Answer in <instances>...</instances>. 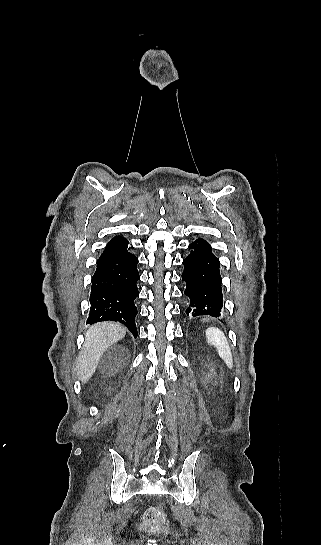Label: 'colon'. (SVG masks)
<instances>
[{
  "instance_id": "obj_1",
  "label": "colon",
  "mask_w": 321,
  "mask_h": 545,
  "mask_svg": "<svg viewBox=\"0 0 321 545\" xmlns=\"http://www.w3.org/2000/svg\"><path fill=\"white\" fill-rule=\"evenodd\" d=\"M164 523V513L161 509L151 507L147 509L143 517V526L146 531L158 532Z\"/></svg>"
}]
</instances>
